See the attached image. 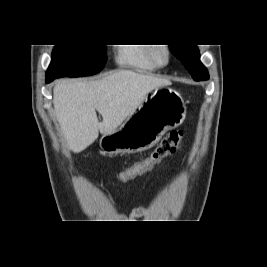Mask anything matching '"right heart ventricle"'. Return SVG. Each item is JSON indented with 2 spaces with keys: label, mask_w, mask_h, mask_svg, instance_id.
<instances>
[{
  "label": "right heart ventricle",
  "mask_w": 267,
  "mask_h": 267,
  "mask_svg": "<svg viewBox=\"0 0 267 267\" xmlns=\"http://www.w3.org/2000/svg\"><path fill=\"white\" fill-rule=\"evenodd\" d=\"M151 46L121 44L115 54V62L121 67H129L141 72L158 69L150 57Z\"/></svg>",
  "instance_id": "1"
}]
</instances>
